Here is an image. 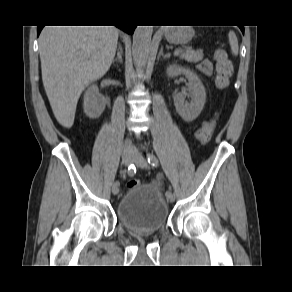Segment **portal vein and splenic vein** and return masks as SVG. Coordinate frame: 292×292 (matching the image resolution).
Listing matches in <instances>:
<instances>
[{
    "instance_id": "18ae733b",
    "label": "portal vein and splenic vein",
    "mask_w": 292,
    "mask_h": 292,
    "mask_svg": "<svg viewBox=\"0 0 292 292\" xmlns=\"http://www.w3.org/2000/svg\"><path fill=\"white\" fill-rule=\"evenodd\" d=\"M178 53H179V51H178V50H176V51L174 52V54H175V55H178Z\"/></svg>"
}]
</instances>
